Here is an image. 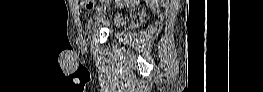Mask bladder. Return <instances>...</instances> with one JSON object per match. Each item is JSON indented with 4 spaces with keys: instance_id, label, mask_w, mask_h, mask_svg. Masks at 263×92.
<instances>
[{
    "instance_id": "bladder-1",
    "label": "bladder",
    "mask_w": 263,
    "mask_h": 92,
    "mask_svg": "<svg viewBox=\"0 0 263 92\" xmlns=\"http://www.w3.org/2000/svg\"><path fill=\"white\" fill-rule=\"evenodd\" d=\"M121 23H122V21L119 20V19H117V20L115 21V25H116V26L120 25Z\"/></svg>"
}]
</instances>
